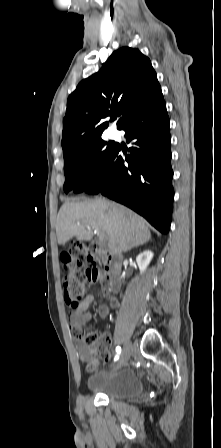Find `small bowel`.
<instances>
[{
    "label": "small bowel",
    "instance_id": "c3829d8e",
    "mask_svg": "<svg viewBox=\"0 0 221 448\" xmlns=\"http://www.w3.org/2000/svg\"><path fill=\"white\" fill-rule=\"evenodd\" d=\"M102 293L105 296H109V292L107 287H102ZM94 297L91 294H88L85 296L82 303L79 305L78 308L73 309L70 314V326L73 331L80 334L83 330L84 326L87 325L92 316L90 312L88 311L89 306L93 303ZM118 303L117 301L109 297V304H102L98 307V314L101 318H107L110 315L111 309L117 307ZM76 350L78 353V356L81 360H87L90 356L91 350L87 344H85L83 341H81L78 336L76 339ZM105 354L108 356L107 352Z\"/></svg>",
    "mask_w": 221,
    "mask_h": 448
}]
</instances>
